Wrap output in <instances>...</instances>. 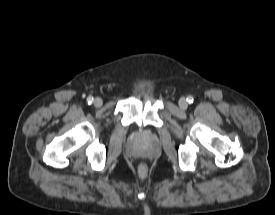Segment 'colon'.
Returning a JSON list of instances; mask_svg holds the SVG:
<instances>
[{
	"label": "colon",
	"mask_w": 275,
	"mask_h": 215,
	"mask_svg": "<svg viewBox=\"0 0 275 215\" xmlns=\"http://www.w3.org/2000/svg\"><path fill=\"white\" fill-rule=\"evenodd\" d=\"M137 172L140 176H144L148 172V167L145 164H140L138 166Z\"/></svg>",
	"instance_id": "obj_1"
}]
</instances>
